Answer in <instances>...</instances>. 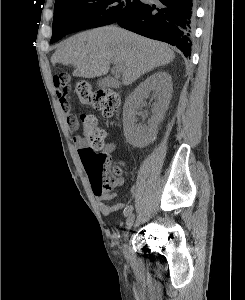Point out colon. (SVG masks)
Listing matches in <instances>:
<instances>
[{
    "instance_id": "colon-1",
    "label": "colon",
    "mask_w": 245,
    "mask_h": 300,
    "mask_svg": "<svg viewBox=\"0 0 245 300\" xmlns=\"http://www.w3.org/2000/svg\"><path fill=\"white\" fill-rule=\"evenodd\" d=\"M53 83L58 91L66 94L70 91V78L66 74L55 75ZM74 92L82 104H88L99 110L103 116L112 117L119 106L118 94L109 88L93 89L88 82L79 81ZM83 139L87 145L79 149V155L90 178L95 193L109 192L121 179L120 170L112 167L109 159L98 152L104 143V132L92 114H82Z\"/></svg>"
}]
</instances>
